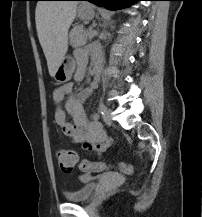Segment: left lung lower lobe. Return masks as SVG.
Returning <instances> with one entry per match:
<instances>
[{
    "label": "left lung lower lobe",
    "instance_id": "obj_1",
    "mask_svg": "<svg viewBox=\"0 0 202 217\" xmlns=\"http://www.w3.org/2000/svg\"><path fill=\"white\" fill-rule=\"evenodd\" d=\"M89 1L97 6L104 7L106 9L117 10L123 9L129 6L130 4L136 3L141 0H83Z\"/></svg>",
    "mask_w": 202,
    "mask_h": 217
}]
</instances>
